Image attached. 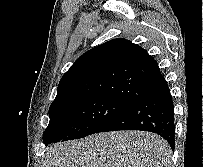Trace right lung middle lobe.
Returning <instances> with one entry per match:
<instances>
[{"mask_svg": "<svg viewBox=\"0 0 203 167\" xmlns=\"http://www.w3.org/2000/svg\"><path fill=\"white\" fill-rule=\"evenodd\" d=\"M129 104L108 97H83L49 109L44 144L79 139L97 133Z\"/></svg>", "mask_w": 203, "mask_h": 167, "instance_id": "dd1d6c3e", "label": "right lung middle lobe"}]
</instances>
